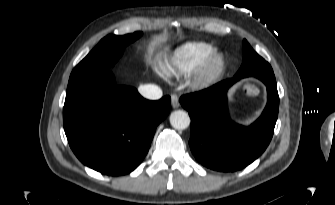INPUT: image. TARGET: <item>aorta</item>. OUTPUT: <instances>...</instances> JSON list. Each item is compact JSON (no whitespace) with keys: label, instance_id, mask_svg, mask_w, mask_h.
Here are the masks:
<instances>
[{"label":"aorta","instance_id":"1","mask_svg":"<svg viewBox=\"0 0 335 205\" xmlns=\"http://www.w3.org/2000/svg\"><path fill=\"white\" fill-rule=\"evenodd\" d=\"M170 124L177 130H184L190 125V117L185 111L176 110L170 115Z\"/></svg>","mask_w":335,"mask_h":205}]
</instances>
